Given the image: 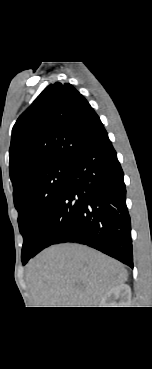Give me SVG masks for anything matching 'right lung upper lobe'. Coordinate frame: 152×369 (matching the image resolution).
Here are the masks:
<instances>
[{
  "label": "right lung upper lobe",
  "instance_id": "1",
  "mask_svg": "<svg viewBox=\"0 0 152 369\" xmlns=\"http://www.w3.org/2000/svg\"><path fill=\"white\" fill-rule=\"evenodd\" d=\"M103 132L99 116L71 84H50L12 129L9 172L13 194L32 173L70 163Z\"/></svg>",
  "mask_w": 152,
  "mask_h": 369
}]
</instances>
